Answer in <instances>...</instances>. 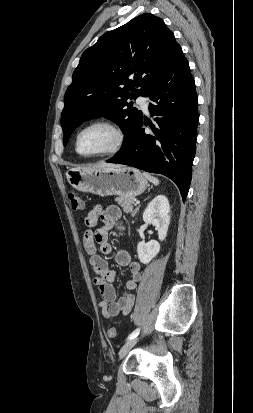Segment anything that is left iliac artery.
I'll list each match as a JSON object with an SVG mask.
<instances>
[{"label": "left iliac artery", "mask_w": 253, "mask_h": 413, "mask_svg": "<svg viewBox=\"0 0 253 413\" xmlns=\"http://www.w3.org/2000/svg\"><path fill=\"white\" fill-rule=\"evenodd\" d=\"M139 332H140L139 329L134 330V331L128 336L127 340H130V339H133V338L137 337V336L139 335Z\"/></svg>", "instance_id": "1"}]
</instances>
